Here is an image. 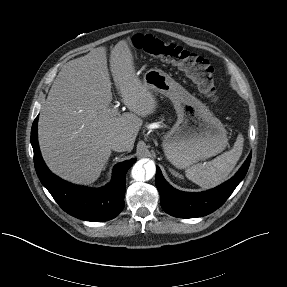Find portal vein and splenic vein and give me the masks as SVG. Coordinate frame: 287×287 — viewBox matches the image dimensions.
<instances>
[{
  "label": "portal vein and splenic vein",
  "mask_w": 287,
  "mask_h": 287,
  "mask_svg": "<svg viewBox=\"0 0 287 287\" xmlns=\"http://www.w3.org/2000/svg\"><path fill=\"white\" fill-rule=\"evenodd\" d=\"M112 113H113L114 115L118 114V110L116 109V107L112 109Z\"/></svg>",
  "instance_id": "1"
}]
</instances>
